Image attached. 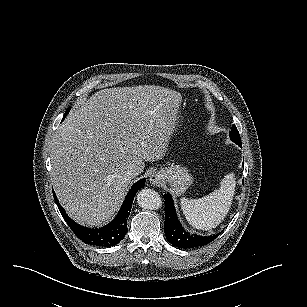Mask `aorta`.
Returning a JSON list of instances; mask_svg holds the SVG:
<instances>
[{"instance_id": "obj_1", "label": "aorta", "mask_w": 307, "mask_h": 307, "mask_svg": "<svg viewBox=\"0 0 307 307\" xmlns=\"http://www.w3.org/2000/svg\"><path fill=\"white\" fill-rule=\"evenodd\" d=\"M137 203L140 207L149 210H157L162 206L159 193L153 189L140 190L137 194Z\"/></svg>"}]
</instances>
